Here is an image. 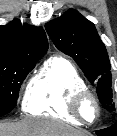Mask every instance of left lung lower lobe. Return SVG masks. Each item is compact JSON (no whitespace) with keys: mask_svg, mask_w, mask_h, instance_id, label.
I'll list each match as a JSON object with an SVG mask.
<instances>
[{"mask_svg":"<svg viewBox=\"0 0 117 136\" xmlns=\"http://www.w3.org/2000/svg\"><path fill=\"white\" fill-rule=\"evenodd\" d=\"M98 136H117V124L102 130H97Z\"/></svg>","mask_w":117,"mask_h":136,"instance_id":"left-lung-lower-lobe-1","label":"left lung lower lobe"}]
</instances>
